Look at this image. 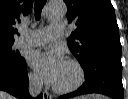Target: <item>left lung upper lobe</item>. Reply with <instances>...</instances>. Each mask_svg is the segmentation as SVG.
Here are the masks:
<instances>
[{
  "label": "left lung upper lobe",
  "mask_w": 128,
  "mask_h": 99,
  "mask_svg": "<svg viewBox=\"0 0 128 99\" xmlns=\"http://www.w3.org/2000/svg\"><path fill=\"white\" fill-rule=\"evenodd\" d=\"M68 22L77 26L68 47L81 65L96 52L121 54L119 28L110 0H64Z\"/></svg>",
  "instance_id": "1"
}]
</instances>
